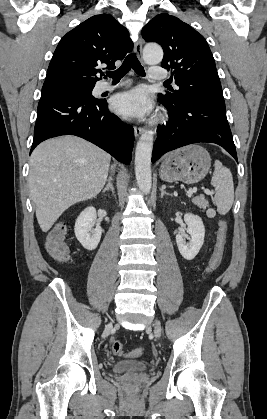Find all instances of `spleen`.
I'll return each instance as SVG.
<instances>
[{"mask_svg":"<svg viewBox=\"0 0 267 419\" xmlns=\"http://www.w3.org/2000/svg\"><path fill=\"white\" fill-rule=\"evenodd\" d=\"M215 170L212 176L211 185L216 188L214 203L217 212L225 215L229 212L234 202L233 177L230 170L219 161H215Z\"/></svg>","mask_w":267,"mask_h":419,"instance_id":"3e777b00","label":"spleen"}]
</instances>
